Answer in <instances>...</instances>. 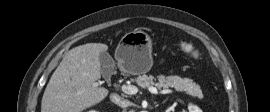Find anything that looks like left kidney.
Instances as JSON below:
<instances>
[{
  "mask_svg": "<svg viewBox=\"0 0 270 112\" xmlns=\"http://www.w3.org/2000/svg\"><path fill=\"white\" fill-rule=\"evenodd\" d=\"M189 112H202V110L193 105L190 107Z\"/></svg>",
  "mask_w": 270,
  "mask_h": 112,
  "instance_id": "left-kidney-1",
  "label": "left kidney"
}]
</instances>
